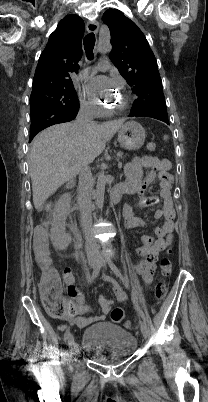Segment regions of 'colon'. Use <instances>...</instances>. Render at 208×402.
<instances>
[{"mask_svg": "<svg viewBox=\"0 0 208 402\" xmlns=\"http://www.w3.org/2000/svg\"><path fill=\"white\" fill-rule=\"evenodd\" d=\"M156 145L154 142L147 144L148 151H155ZM48 232H36L33 238V243L36 248V257L38 265H41L45 271L42 282L39 283V290L43 293L42 307L47 308L48 314H73L74 306L72 299H63V292L65 291L62 286L66 285L67 279L60 278L57 264L51 261L49 256ZM172 249L168 248L167 252L171 253ZM172 265L168 259H162L159 263V273L168 277L171 275ZM167 293V284L165 281L158 282L153 290V298L156 302H162ZM111 319L114 323L128 326V318L125 311L116 307L111 312Z\"/></svg>", "mask_w": 208, "mask_h": 402, "instance_id": "1", "label": "colon"}]
</instances>
